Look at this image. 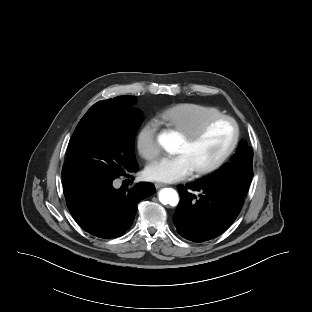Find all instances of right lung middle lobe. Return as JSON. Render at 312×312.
<instances>
[{"label": "right lung middle lobe", "mask_w": 312, "mask_h": 312, "mask_svg": "<svg viewBox=\"0 0 312 312\" xmlns=\"http://www.w3.org/2000/svg\"><path fill=\"white\" fill-rule=\"evenodd\" d=\"M135 96L95 103L78 123L62 169L65 197L117 178L137 166L134 137L143 121Z\"/></svg>", "instance_id": "obj_1"}]
</instances>
